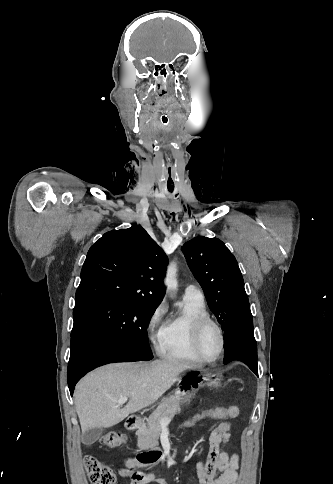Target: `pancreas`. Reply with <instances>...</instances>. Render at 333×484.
Segmentation results:
<instances>
[{"instance_id":"obj_1","label":"pancreas","mask_w":333,"mask_h":484,"mask_svg":"<svg viewBox=\"0 0 333 484\" xmlns=\"http://www.w3.org/2000/svg\"><path fill=\"white\" fill-rule=\"evenodd\" d=\"M179 398L175 395L164 399L159 407L148 417L136 432L138 437V447L142 450H158V437L162 429L160 420L164 418L172 419L180 413Z\"/></svg>"}]
</instances>
